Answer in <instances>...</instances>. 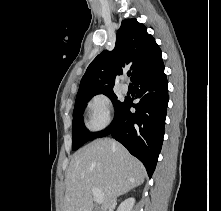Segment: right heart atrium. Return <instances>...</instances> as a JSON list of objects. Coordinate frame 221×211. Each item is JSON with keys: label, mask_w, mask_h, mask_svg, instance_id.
<instances>
[{"label": "right heart atrium", "mask_w": 221, "mask_h": 211, "mask_svg": "<svg viewBox=\"0 0 221 211\" xmlns=\"http://www.w3.org/2000/svg\"><path fill=\"white\" fill-rule=\"evenodd\" d=\"M112 105L105 94H96L86 106L87 125L92 131L105 128L111 120Z\"/></svg>", "instance_id": "obj_1"}]
</instances>
